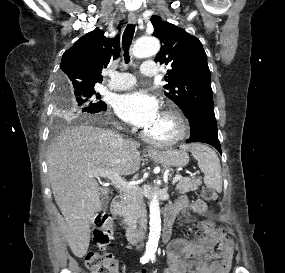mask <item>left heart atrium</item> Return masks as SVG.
Here are the masks:
<instances>
[{"mask_svg": "<svg viewBox=\"0 0 285 273\" xmlns=\"http://www.w3.org/2000/svg\"><path fill=\"white\" fill-rule=\"evenodd\" d=\"M114 109L121 119L144 130L152 126L161 115L158 101L144 91L118 96Z\"/></svg>", "mask_w": 285, "mask_h": 273, "instance_id": "obj_1", "label": "left heart atrium"}]
</instances>
